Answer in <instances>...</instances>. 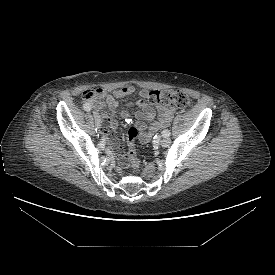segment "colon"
Here are the masks:
<instances>
[{
    "label": "colon",
    "instance_id": "5ec220e1",
    "mask_svg": "<svg viewBox=\"0 0 275 275\" xmlns=\"http://www.w3.org/2000/svg\"><path fill=\"white\" fill-rule=\"evenodd\" d=\"M82 97L85 101L91 103L97 98V90H86L83 92ZM147 99L153 105H168L177 107L179 109H187L191 105L188 94L182 90L177 89L153 90L149 92ZM127 135L129 139V151L127 153V161L134 169H138L141 161L137 156L133 145V141L138 136V129L136 127H131L128 130Z\"/></svg>",
    "mask_w": 275,
    "mask_h": 275
}]
</instances>
